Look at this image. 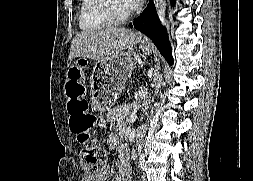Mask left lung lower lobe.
<instances>
[{"instance_id": "0a47b994", "label": "left lung lower lobe", "mask_w": 253, "mask_h": 181, "mask_svg": "<svg viewBox=\"0 0 253 181\" xmlns=\"http://www.w3.org/2000/svg\"><path fill=\"white\" fill-rule=\"evenodd\" d=\"M133 25L137 30L147 35L153 41L160 53L170 64L173 63L166 30L160 23L156 8L152 1L148 4L141 16L133 22ZM129 27L132 28V24H129Z\"/></svg>"}]
</instances>
